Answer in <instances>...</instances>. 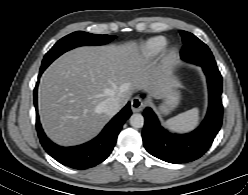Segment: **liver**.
<instances>
[{"mask_svg": "<svg viewBox=\"0 0 248 195\" xmlns=\"http://www.w3.org/2000/svg\"><path fill=\"white\" fill-rule=\"evenodd\" d=\"M171 76L169 68L152 62L134 41L76 48L54 61L41 77L42 126L59 145L84 143L111 118L99 109L100 103L114 97L122 108L135 90L160 98Z\"/></svg>", "mask_w": 248, "mask_h": 195, "instance_id": "obj_1", "label": "liver"}]
</instances>
